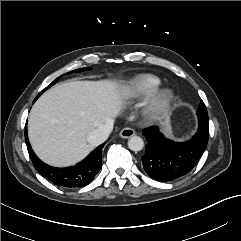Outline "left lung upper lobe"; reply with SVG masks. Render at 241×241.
Returning a JSON list of instances; mask_svg holds the SVG:
<instances>
[{
    "label": "left lung upper lobe",
    "mask_w": 241,
    "mask_h": 241,
    "mask_svg": "<svg viewBox=\"0 0 241 241\" xmlns=\"http://www.w3.org/2000/svg\"><path fill=\"white\" fill-rule=\"evenodd\" d=\"M197 115H198L199 125L209 130L208 113L203 101L200 102V105L197 110Z\"/></svg>",
    "instance_id": "obj_1"
}]
</instances>
